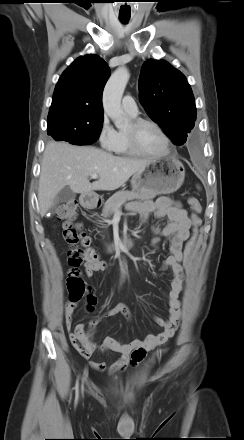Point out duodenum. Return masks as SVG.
Returning a JSON list of instances; mask_svg holds the SVG:
<instances>
[{
  "label": "duodenum",
  "mask_w": 244,
  "mask_h": 440,
  "mask_svg": "<svg viewBox=\"0 0 244 440\" xmlns=\"http://www.w3.org/2000/svg\"><path fill=\"white\" fill-rule=\"evenodd\" d=\"M82 201L84 205L90 208H96L99 205L98 200L95 197H92L90 195H86L82 198ZM133 246V240L131 238H127L124 240H119L118 242L114 243L110 247L111 252H121L125 249H128Z\"/></svg>",
  "instance_id": "duodenum-1"
}]
</instances>
